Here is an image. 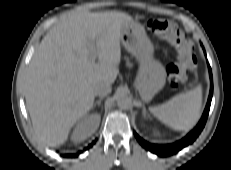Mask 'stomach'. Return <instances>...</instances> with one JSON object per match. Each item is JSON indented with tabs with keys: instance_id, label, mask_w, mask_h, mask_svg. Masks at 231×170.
Listing matches in <instances>:
<instances>
[{
	"instance_id": "1",
	"label": "stomach",
	"mask_w": 231,
	"mask_h": 170,
	"mask_svg": "<svg viewBox=\"0 0 231 170\" xmlns=\"http://www.w3.org/2000/svg\"><path fill=\"white\" fill-rule=\"evenodd\" d=\"M121 42L139 62L136 86L141 95L146 98L154 87L164 84L165 70L153 58V45L140 23L134 20L124 23L121 27Z\"/></svg>"
}]
</instances>
